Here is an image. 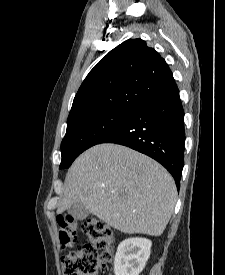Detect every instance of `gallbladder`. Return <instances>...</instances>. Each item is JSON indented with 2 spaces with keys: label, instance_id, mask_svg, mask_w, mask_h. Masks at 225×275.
<instances>
[{
  "label": "gallbladder",
  "instance_id": "1",
  "mask_svg": "<svg viewBox=\"0 0 225 275\" xmlns=\"http://www.w3.org/2000/svg\"><path fill=\"white\" fill-rule=\"evenodd\" d=\"M68 213L77 220H83L89 215V211L80 202L73 203L68 208Z\"/></svg>",
  "mask_w": 225,
  "mask_h": 275
}]
</instances>
